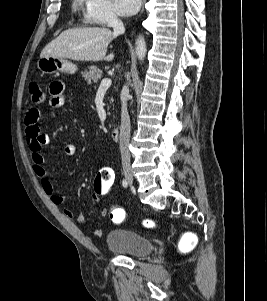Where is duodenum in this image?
I'll list each match as a JSON object with an SVG mask.
<instances>
[{
	"label": "duodenum",
	"instance_id": "1",
	"mask_svg": "<svg viewBox=\"0 0 267 301\" xmlns=\"http://www.w3.org/2000/svg\"><path fill=\"white\" fill-rule=\"evenodd\" d=\"M120 130L119 128H113L110 132V137L112 140H117L119 138Z\"/></svg>",
	"mask_w": 267,
	"mask_h": 301
}]
</instances>
